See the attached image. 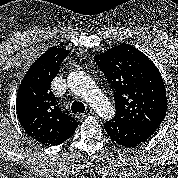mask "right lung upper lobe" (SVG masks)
<instances>
[{
    "instance_id": "right-lung-upper-lobe-1",
    "label": "right lung upper lobe",
    "mask_w": 178,
    "mask_h": 178,
    "mask_svg": "<svg viewBox=\"0 0 178 178\" xmlns=\"http://www.w3.org/2000/svg\"><path fill=\"white\" fill-rule=\"evenodd\" d=\"M68 53L63 48L47 50L29 68L18 89L19 121L26 133L42 145L62 144L78 127L76 120L61 110L50 86Z\"/></svg>"
}]
</instances>
